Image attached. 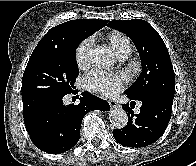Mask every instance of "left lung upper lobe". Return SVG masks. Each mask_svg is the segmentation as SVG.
<instances>
[{"instance_id": "left-lung-upper-lobe-1", "label": "left lung upper lobe", "mask_w": 196, "mask_h": 166, "mask_svg": "<svg viewBox=\"0 0 196 166\" xmlns=\"http://www.w3.org/2000/svg\"><path fill=\"white\" fill-rule=\"evenodd\" d=\"M107 26L129 36L140 55L142 73L125 94L132 99L148 94L174 99V70L166 45L158 32L142 19L112 20Z\"/></svg>"}]
</instances>
